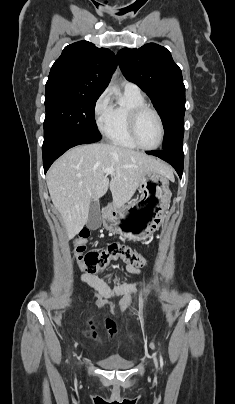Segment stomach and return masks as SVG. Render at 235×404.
<instances>
[{"instance_id":"stomach-1","label":"stomach","mask_w":235,"mask_h":404,"mask_svg":"<svg viewBox=\"0 0 235 404\" xmlns=\"http://www.w3.org/2000/svg\"><path fill=\"white\" fill-rule=\"evenodd\" d=\"M138 190V200L110 210L105 223L107 230L128 239L143 240L160 228L171 196L168 178L158 172H148L142 176Z\"/></svg>"}]
</instances>
